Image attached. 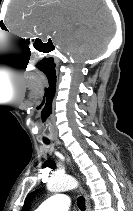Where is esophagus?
<instances>
[{"label":"esophagus","mask_w":133,"mask_h":211,"mask_svg":"<svg viewBox=\"0 0 133 211\" xmlns=\"http://www.w3.org/2000/svg\"><path fill=\"white\" fill-rule=\"evenodd\" d=\"M67 161H70L68 156H67ZM80 192L85 198L86 211H91L90 201H89V198H88V195H87L86 191L82 187H80Z\"/></svg>","instance_id":"esophagus-1"}]
</instances>
